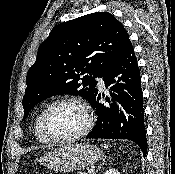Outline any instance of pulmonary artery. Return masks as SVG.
Instances as JSON below:
<instances>
[{
    "label": "pulmonary artery",
    "mask_w": 175,
    "mask_h": 174,
    "mask_svg": "<svg viewBox=\"0 0 175 174\" xmlns=\"http://www.w3.org/2000/svg\"><path fill=\"white\" fill-rule=\"evenodd\" d=\"M99 87H100V89L105 88V84H104V81L102 79H99Z\"/></svg>",
    "instance_id": "obj_1"
}]
</instances>
